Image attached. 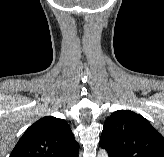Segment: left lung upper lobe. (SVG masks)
Masks as SVG:
<instances>
[{
  "label": "left lung upper lobe",
  "mask_w": 164,
  "mask_h": 157,
  "mask_svg": "<svg viewBox=\"0 0 164 157\" xmlns=\"http://www.w3.org/2000/svg\"><path fill=\"white\" fill-rule=\"evenodd\" d=\"M100 144L117 157H164V138L147 119L118 110L105 121Z\"/></svg>",
  "instance_id": "1"
}]
</instances>
